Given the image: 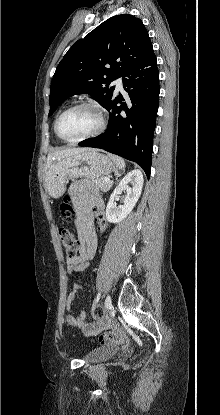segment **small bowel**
I'll return each mask as SVG.
<instances>
[{
    "mask_svg": "<svg viewBox=\"0 0 220 415\" xmlns=\"http://www.w3.org/2000/svg\"><path fill=\"white\" fill-rule=\"evenodd\" d=\"M72 204L75 209V225L79 244V256L68 260L69 271L80 272L85 270L94 258L97 248V233L104 232L107 228V220L103 214L104 200L94 183L90 180H80L73 185ZM102 214L99 215L98 212ZM82 287L75 284L67 298L66 323L77 328L86 337L98 336L102 345H112L115 338H102L104 330L110 328L108 320H100L97 323L89 322L83 310L75 313L73 305ZM114 337V336H113ZM91 341H94L91 339Z\"/></svg>",
    "mask_w": 220,
    "mask_h": 415,
    "instance_id": "small-bowel-1",
    "label": "small bowel"
}]
</instances>
